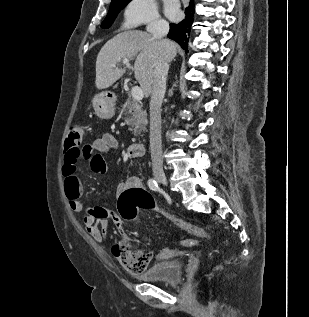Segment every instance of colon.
I'll return each instance as SVG.
<instances>
[{
	"label": "colon",
	"instance_id": "obj_1",
	"mask_svg": "<svg viewBox=\"0 0 309 317\" xmlns=\"http://www.w3.org/2000/svg\"><path fill=\"white\" fill-rule=\"evenodd\" d=\"M83 136L82 126L75 124L70 127L66 140L65 160L67 163L76 162L89 151V145L81 146ZM118 209L125 220L135 219L140 210H159L153 197L145 189H129L123 192L118 200ZM162 214L175 226L183 231L200 238H211L210 232L202 227L186 222L162 211ZM180 244L193 247L197 244L195 239H183ZM113 254L120 265L130 273L137 274L144 271L151 260L152 253L143 240L124 235L114 245Z\"/></svg>",
	"mask_w": 309,
	"mask_h": 317
}]
</instances>
